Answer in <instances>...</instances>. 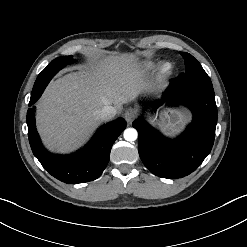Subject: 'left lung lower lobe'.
<instances>
[{
    "label": "left lung lower lobe",
    "instance_id": "0a47b994",
    "mask_svg": "<svg viewBox=\"0 0 247 247\" xmlns=\"http://www.w3.org/2000/svg\"><path fill=\"white\" fill-rule=\"evenodd\" d=\"M164 102L182 104L193 113L191 124L179 137L165 138L143 119L135 120L133 127L138 131V152L146 168L158 177L178 179L194 172L212 149L217 124L215 94L213 86L185 85L172 79L156 104Z\"/></svg>",
    "mask_w": 247,
    "mask_h": 247
}]
</instances>
